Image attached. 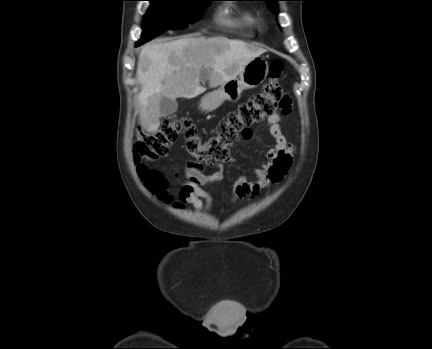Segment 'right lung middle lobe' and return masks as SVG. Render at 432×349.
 <instances>
[{
  "instance_id": "right-lung-middle-lobe-1",
  "label": "right lung middle lobe",
  "mask_w": 432,
  "mask_h": 349,
  "mask_svg": "<svg viewBox=\"0 0 432 349\" xmlns=\"http://www.w3.org/2000/svg\"><path fill=\"white\" fill-rule=\"evenodd\" d=\"M148 9L143 23L142 38L139 46L166 29L185 28L201 17L203 2L210 0H148Z\"/></svg>"
}]
</instances>
